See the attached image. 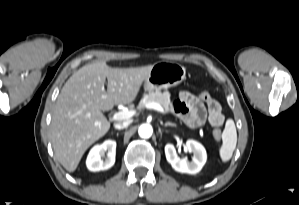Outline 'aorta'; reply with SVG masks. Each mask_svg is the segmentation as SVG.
<instances>
[{"mask_svg": "<svg viewBox=\"0 0 299 205\" xmlns=\"http://www.w3.org/2000/svg\"><path fill=\"white\" fill-rule=\"evenodd\" d=\"M141 138H150L153 133V128L150 124H142L138 129Z\"/></svg>", "mask_w": 299, "mask_h": 205, "instance_id": "aorta-1", "label": "aorta"}]
</instances>
